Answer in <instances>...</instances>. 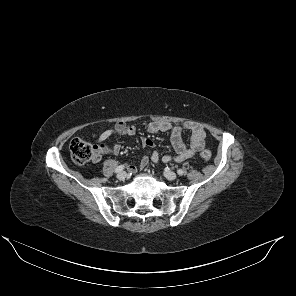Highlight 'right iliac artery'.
Instances as JSON below:
<instances>
[{
	"instance_id": "right-iliac-artery-1",
	"label": "right iliac artery",
	"mask_w": 296,
	"mask_h": 296,
	"mask_svg": "<svg viewBox=\"0 0 296 296\" xmlns=\"http://www.w3.org/2000/svg\"><path fill=\"white\" fill-rule=\"evenodd\" d=\"M124 169V165H120L115 169V173H119Z\"/></svg>"
}]
</instances>
